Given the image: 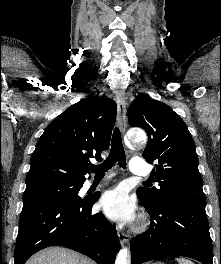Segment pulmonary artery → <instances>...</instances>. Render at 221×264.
<instances>
[{
  "instance_id": "1",
  "label": "pulmonary artery",
  "mask_w": 221,
  "mask_h": 264,
  "mask_svg": "<svg viewBox=\"0 0 221 264\" xmlns=\"http://www.w3.org/2000/svg\"><path fill=\"white\" fill-rule=\"evenodd\" d=\"M129 169L133 174L138 175V176H147L148 175V170H147L145 161L141 158H138V157H134L131 159ZM112 177H113L112 174L106 175L101 180V182L107 181L108 179H110ZM93 185H94L93 181H88L86 183V188H90Z\"/></svg>"
}]
</instances>
